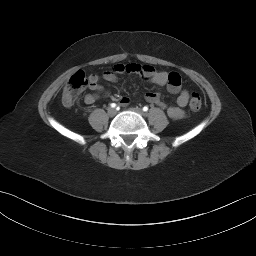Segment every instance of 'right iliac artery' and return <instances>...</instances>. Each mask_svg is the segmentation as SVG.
Wrapping results in <instances>:
<instances>
[{
  "label": "right iliac artery",
  "mask_w": 256,
  "mask_h": 256,
  "mask_svg": "<svg viewBox=\"0 0 256 256\" xmlns=\"http://www.w3.org/2000/svg\"><path fill=\"white\" fill-rule=\"evenodd\" d=\"M110 106H111L112 108H115V107H116V104H115V103H111Z\"/></svg>",
  "instance_id": "1"
}]
</instances>
